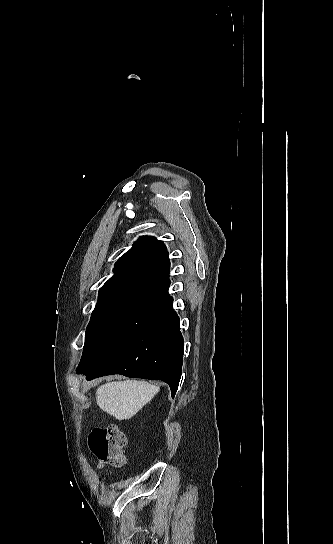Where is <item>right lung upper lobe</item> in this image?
Here are the masks:
<instances>
[{
	"instance_id": "obj_1",
	"label": "right lung upper lobe",
	"mask_w": 333,
	"mask_h": 544,
	"mask_svg": "<svg viewBox=\"0 0 333 544\" xmlns=\"http://www.w3.org/2000/svg\"><path fill=\"white\" fill-rule=\"evenodd\" d=\"M169 269L163 242L142 236L115 264V274L100 288L97 304L128 298L172 303L168 293Z\"/></svg>"
}]
</instances>
